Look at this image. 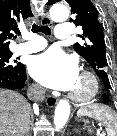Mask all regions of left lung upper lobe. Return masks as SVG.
Returning a JSON list of instances; mask_svg holds the SVG:
<instances>
[{
	"mask_svg": "<svg viewBox=\"0 0 117 136\" xmlns=\"http://www.w3.org/2000/svg\"><path fill=\"white\" fill-rule=\"evenodd\" d=\"M56 1L49 0L48 5ZM71 7V12L76 15L72 20L76 26H82L84 32L80 36L85 43L74 44V50L81 55L95 70L107 89H111L107 75L106 47L103 36V27L98 21V13L94 5L89 0H65Z\"/></svg>",
	"mask_w": 117,
	"mask_h": 136,
	"instance_id": "left-lung-upper-lobe-1",
	"label": "left lung upper lobe"
}]
</instances>
